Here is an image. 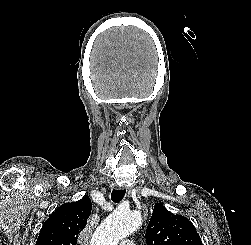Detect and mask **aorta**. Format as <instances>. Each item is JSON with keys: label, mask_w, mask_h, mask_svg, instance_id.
<instances>
[{"label": "aorta", "mask_w": 251, "mask_h": 245, "mask_svg": "<svg viewBox=\"0 0 251 245\" xmlns=\"http://www.w3.org/2000/svg\"><path fill=\"white\" fill-rule=\"evenodd\" d=\"M142 219L138 212L116 210L96 229L90 245H118V243L135 232Z\"/></svg>", "instance_id": "aorta-1"}]
</instances>
